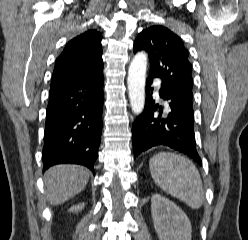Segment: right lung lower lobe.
<instances>
[{
	"label": "right lung lower lobe",
	"instance_id": "right-lung-lower-lobe-1",
	"mask_svg": "<svg viewBox=\"0 0 248 240\" xmlns=\"http://www.w3.org/2000/svg\"><path fill=\"white\" fill-rule=\"evenodd\" d=\"M103 74L50 89L42 160L44 168L60 163L94 171L102 133Z\"/></svg>",
	"mask_w": 248,
	"mask_h": 240
}]
</instances>
